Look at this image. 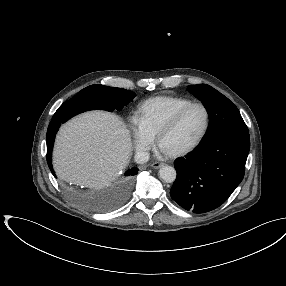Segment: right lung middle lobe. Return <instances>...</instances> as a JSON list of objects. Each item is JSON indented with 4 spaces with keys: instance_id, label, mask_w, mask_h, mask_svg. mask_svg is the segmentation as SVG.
Wrapping results in <instances>:
<instances>
[{
    "instance_id": "dd1d6c3e",
    "label": "right lung middle lobe",
    "mask_w": 286,
    "mask_h": 286,
    "mask_svg": "<svg viewBox=\"0 0 286 286\" xmlns=\"http://www.w3.org/2000/svg\"><path fill=\"white\" fill-rule=\"evenodd\" d=\"M136 94L130 90L114 88L99 84L90 85L78 92L70 100L65 101L55 112L53 118L67 121L76 114L84 111L101 109L114 111L122 109L132 101ZM130 178L125 180L129 185Z\"/></svg>"
}]
</instances>
